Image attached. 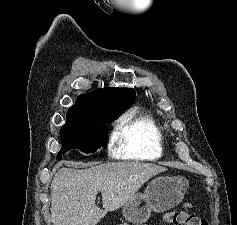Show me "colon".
Returning <instances> with one entry per match:
<instances>
[{
	"label": "colon",
	"mask_w": 237,
	"mask_h": 225,
	"mask_svg": "<svg viewBox=\"0 0 237 225\" xmlns=\"http://www.w3.org/2000/svg\"><path fill=\"white\" fill-rule=\"evenodd\" d=\"M165 221L174 225H208V222L205 219L182 209H176L169 212L165 216ZM119 225L128 224L122 223Z\"/></svg>",
	"instance_id": "5ec220e1"
}]
</instances>
